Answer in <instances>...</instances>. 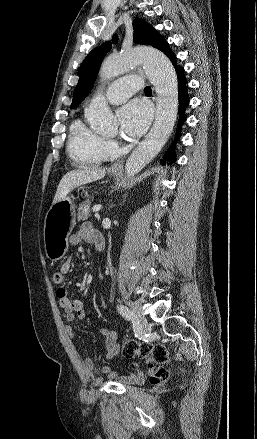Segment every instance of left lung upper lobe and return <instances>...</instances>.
<instances>
[{
    "label": "left lung upper lobe",
    "instance_id": "1",
    "mask_svg": "<svg viewBox=\"0 0 257 439\" xmlns=\"http://www.w3.org/2000/svg\"><path fill=\"white\" fill-rule=\"evenodd\" d=\"M133 29V41L137 44L151 45L161 51H164L169 46L163 37L144 19L135 18L133 21ZM116 42L117 37L115 36L113 43ZM110 49L111 43L106 42L92 50L86 56L79 71V81L74 90L73 101L70 108L78 106L89 94L97 77L101 62Z\"/></svg>",
    "mask_w": 257,
    "mask_h": 439
}]
</instances>
